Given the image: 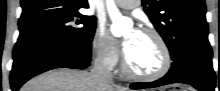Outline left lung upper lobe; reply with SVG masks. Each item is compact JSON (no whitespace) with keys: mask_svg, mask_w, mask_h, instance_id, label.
<instances>
[{"mask_svg":"<svg viewBox=\"0 0 220 91\" xmlns=\"http://www.w3.org/2000/svg\"><path fill=\"white\" fill-rule=\"evenodd\" d=\"M142 6L172 60L183 49L210 46L204 0H142Z\"/></svg>","mask_w":220,"mask_h":91,"instance_id":"5c2ea615","label":"left lung upper lobe"}]
</instances>
